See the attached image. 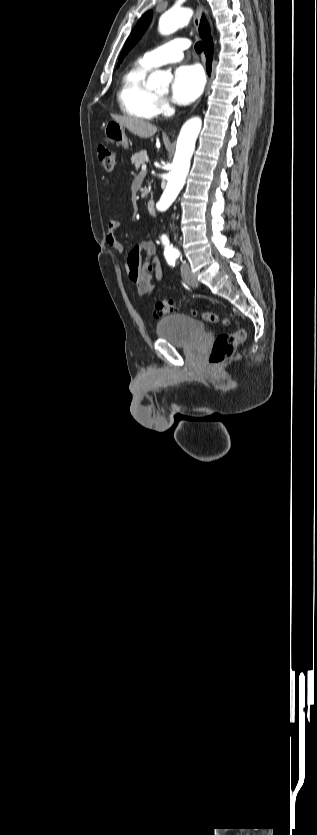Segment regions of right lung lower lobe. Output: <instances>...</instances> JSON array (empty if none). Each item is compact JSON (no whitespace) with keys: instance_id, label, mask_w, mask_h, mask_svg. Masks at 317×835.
Returning a JSON list of instances; mask_svg holds the SVG:
<instances>
[{"instance_id":"right-lung-lower-lobe-1","label":"right lung lower lobe","mask_w":317,"mask_h":835,"mask_svg":"<svg viewBox=\"0 0 317 835\" xmlns=\"http://www.w3.org/2000/svg\"><path fill=\"white\" fill-rule=\"evenodd\" d=\"M201 37L204 41V53H205L206 58H207L206 66H207V71L209 72L210 69H211V61H212V54H213V41H212V37L210 35V29L209 28L205 29L203 34H201Z\"/></svg>"}]
</instances>
